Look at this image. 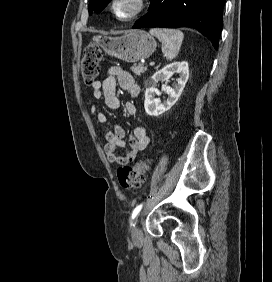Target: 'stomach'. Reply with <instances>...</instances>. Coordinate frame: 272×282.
<instances>
[{"mask_svg":"<svg viewBox=\"0 0 272 282\" xmlns=\"http://www.w3.org/2000/svg\"><path fill=\"white\" fill-rule=\"evenodd\" d=\"M104 51L126 62L148 58L156 50V40L146 31L135 30L120 37H95Z\"/></svg>","mask_w":272,"mask_h":282,"instance_id":"stomach-1","label":"stomach"}]
</instances>
